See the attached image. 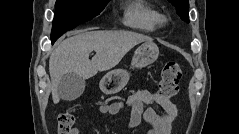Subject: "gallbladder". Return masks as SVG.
Here are the masks:
<instances>
[{"mask_svg": "<svg viewBox=\"0 0 239 134\" xmlns=\"http://www.w3.org/2000/svg\"><path fill=\"white\" fill-rule=\"evenodd\" d=\"M85 89V80L75 73L66 74L58 84V94L65 101H72L81 96Z\"/></svg>", "mask_w": 239, "mask_h": 134, "instance_id": "obj_1", "label": "gallbladder"}]
</instances>
